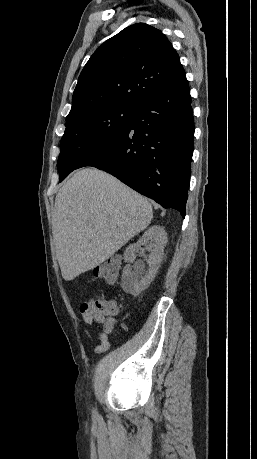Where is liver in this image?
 Instances as JSON below:
<instances>
[{"instance_id":"1","label":"liver","mask_w":257,"mask_h":459,"mask_svg":"<svg viewBox=\"0 0 257 459\" xmlns=\"http://www.w3.org/2000/svg\"><path fill=\"white\" fill-rule=\"evenodd\" d=\"M153 218L152 205L96 168L77 171L55 198L52 232L62 277L71 281L111 257Z\"/></svg>"}]
</instances>
